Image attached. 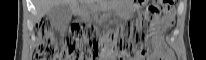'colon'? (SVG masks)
<instances>
[{
  "mask_svg": "<svg viewBox=\"0 0 206 60\" xmlns=\"http://www.w3.org/2000/svg\"><path fill=\"white\" fill-rule=\"evenodd\" d=\"M176 1H151L136 22H126L109 33L113 50L120 60H136L145 54L152 25L171 17ZM37 60H95L105 51L99 31L89 24H72L69 34L59 39L47 19L37 24Z\"/></svg>",
  "mask_w": 206,
  "mask_h": 60,
  "instance_id": "1",
  "label": "colon"
}]
</instances>
